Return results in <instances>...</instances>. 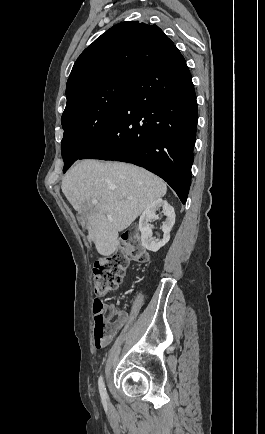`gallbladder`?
Returning a JSON list of instances; mask_svg holds the SVG:
<instances>
[{
    "mask_svg": "<svg viewBox=\"0 0 265 434\" xmlns=\"http://www.w3.org/2000/svg\"><path fill=\"white\" fill-rule=\"evenodd\" d=\"M77 219H78V221L81 222V224H84V221H83L84 218H83V216L80 215V216H78Z\"/></svg>",
    "mask_w": 265,
    "mask_h": 434,
    "instance_id": "gallbladder-1",
    "label": "gallbladder"
}]
</instances>
